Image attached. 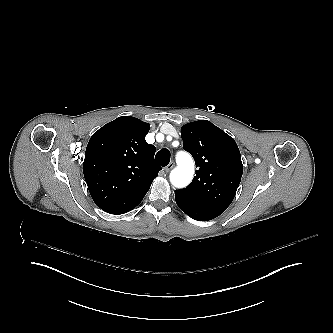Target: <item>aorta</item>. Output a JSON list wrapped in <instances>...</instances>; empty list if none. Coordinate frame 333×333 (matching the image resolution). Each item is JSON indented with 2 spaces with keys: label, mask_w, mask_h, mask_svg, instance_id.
Masks as SVG:
<instances>
[{
  "label": "aorta",
  "mask_w": 333,
  "mask_h": 333,
  "mask_svg": "<svg viewBox=\"0 0 333 333\" xmlns=\"http://www.w3.org/2000/svg\"><path fill=\"white\" fill-rule=\"evenodd\" d=\"M181 162L172 172L170 173V181L172 185L177 188L186 187L192 180L194 174V163L192 158L187 155V159L183 160L179 158Z\"/></svg>",
  "instance_id": "aorta-1"
}]
</instances>
